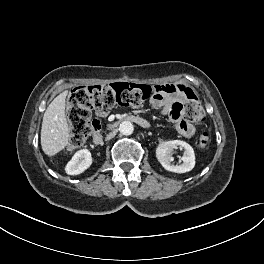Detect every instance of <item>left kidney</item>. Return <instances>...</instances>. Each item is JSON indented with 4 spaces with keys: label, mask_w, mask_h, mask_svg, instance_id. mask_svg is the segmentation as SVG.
Returning a JSON list of instances; mask_svg holds the SVG:
<instances>
[{
    "label": "left kidney",
    "mask_w": 264,
    "mask_h": 264,
    "mask_svg": "<svg viewBox=\"0 0 264 264\" xmlns=\"http://www.w3.org/2000/svg\"><path fill=\"white\" fill-rule=\"evenodd\" d=\"M178 146L184 149L182 157L183 163L180 165L171 164L173 149ZM156 157L164 169L175 173H186L191 171L195 166V154L193 148L186 142L181 140H171L161 142L156 150Z\"/></svg>",
    "instance_id": "obj_1"
}]
</instances>
